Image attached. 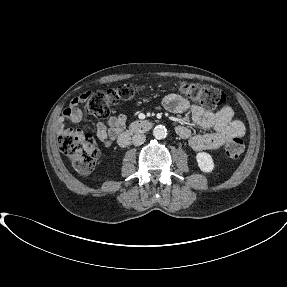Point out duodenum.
<instances>
[{"label":"duodenum","instance_id":"410a0bca","mask_svg":"<svg viewBox=\"0 0 287 287\" xmlns=\"http://www.w3.org/2000/svg\"><path fill=\"white\" fill-rule=\"evenodd\" d=\"M153 126V122L150 120H136L133 121L128 128L123 131L119 138L118 142L121 146H126L129 141L130 137L135 134H141L148 132Z\"/></svg>","mask_w":287,"mask_h":287}]
</instances>
